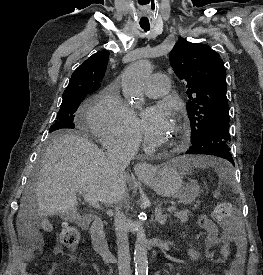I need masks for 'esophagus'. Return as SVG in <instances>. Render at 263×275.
Segmentation results:
<instances>
[{"mask_svg":"<svg viewBox=\"0 0 263 275\" xmlns=\"http://www.w3.org/2000/svg\"><path fill=\"white\" fill-rule=\"evenodd\" d=\"M153 169V166L147 162L137 163L134 167V172L137 176H145L149 174Z\"/></svg>","mask_w":263,"mask_h":275,"instance_id":"esophagus-1","label":"esophagus"}]
</instances>
